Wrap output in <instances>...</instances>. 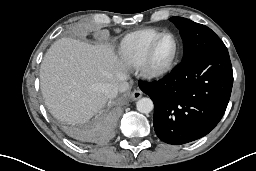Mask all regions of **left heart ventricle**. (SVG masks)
Returning <instances> with one entry per match:
<instances>
[{
    "label": "left heart ventricle",
    "instance_id": "b2bd125f",
    "mask_svg": "<svg viewBox=\"0 0 256 171\" xmlns=\"http://www.w3.org/2000/svg\"><path fill=\"white\" fill-rule=\"evenodd\" d=\"M174 52V41L171 37L164 38L157 46L154 53V62L157 65L167 63Z\"/></svg>",
    "mask_w": 256,
    "mask_h": 171
}]
</instances>
